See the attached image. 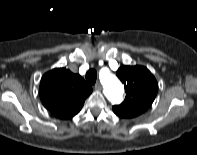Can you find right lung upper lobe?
<instances>
[{
	"instance_id": "obj_1",
	"label": "right lung upper lobe",
	"mask_w": 197,
	"mask_h": 155,
	"mask_svg": "<svg viewBox=\"0 0 197 155\" xmlns=\"http://www.w3.org/2000/svg\"><path fill=\"white\" fill-rule=\"evenodd\" d=\"M39 91L43 105L55 117L70 119L81 110L92 88L80 75L56 68L44 74Z\"/></svg>"
}]
</instances>
